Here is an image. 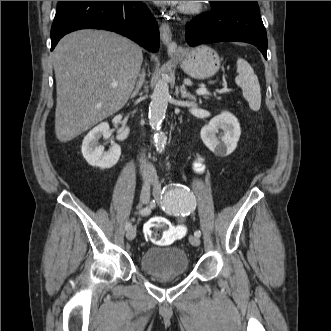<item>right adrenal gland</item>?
<instances>
[{
	"label": "right adrenal gland",
	"instance_id": "2a0ac1e0",
	"mask_svg": "<svg viewBox=\"0 0 331 331\" xmlns=\"http://www.w3.org/2000/svg\"><path fill=\"white\" fill-rule=\"evenodd\" d=\"M144 78H145V74L144 72L139 76V81L137 82L136 84V87L131 95V99L134 98L138 93H139V90L141 89L142 85H143V82H144Z\"/></svg>",
	"mask_w": 331,
	"mask_h": 331
}]
</instances>
